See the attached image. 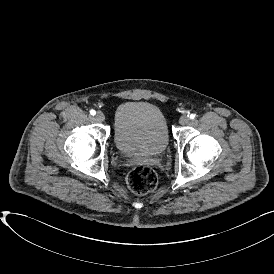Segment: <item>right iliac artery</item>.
I'll return each instance as SVG.
<instances>
[{
  "instance_id": "1",
  "label": "right iliac artery",
  "mask_w": 274,
  "mask_h": 274,
  "mask_svg": "<svg viewBox=\"0 0 274 274\" xmlns=\"http://www.w3.org/2000/svg\"><path fill=\"white\" fill-rule=\"evenodd\" d=\"M90 114L94 116L96 114V111L92 109L90 110Z\"/></svg>"
}]
</instances>
